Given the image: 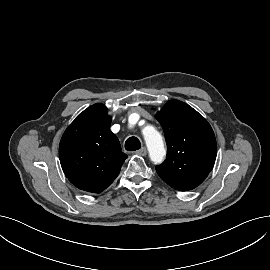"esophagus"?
<instances>
[{
	"label": "esophagus",
	"instance_id": "1",
	"mask_svg": "<svg viewBox=\"0 0 270 270\" xmlns=\"http://www.w3.org/2000/svg\"><path fill=\"white\" fill-rule=\"evenodd\" d=\"M135 153L137 155L145 156L147 154V149L145 147H142L140 150H137Z\"/></svg>",
	"mask_w": 270,
	"mask_h": 270
}]
</instances>
